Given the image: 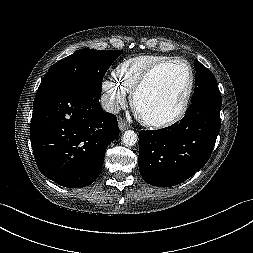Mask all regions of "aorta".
<instances>
[{
    "mask_svg": "<svg viewBox=\"0 0 253 253\" xmlns=\"http://www.w3.org/2000/svg\"><path fill=\"white\" fill-rule=\"evenodd\" d=\"M138 141V136L133 130H127L123 134V143L126 146H134Z\"/></svg>",
    "mask_w": 253,
    "mask_h": 253,
    "instance_id": "obj_1",
    "label": "aorta"
}]
</instances>
